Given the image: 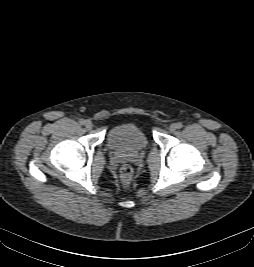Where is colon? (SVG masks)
Returning a JSON list of instances; mask_svg holds the SVG:
<instances>
[{
  "instance_id": "5ec220e1",
  "label": "colon",
  "mask_w": 254,
  "mask_h": 267,
  "mask_svg": "<svg viewBox=\"0 0 254 267\" xmlns=\"http://www.w3.org/2000/svg\"><path fill=\"white\" fill-rule=\"evenodd\" d=\"M133 175V170L129 165H124L120 170V177L124 183H128Z\"/></svg>"
}]
</instances>
